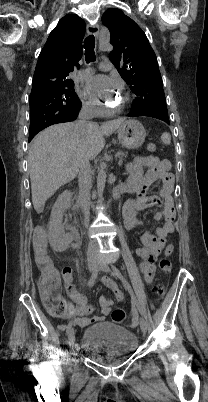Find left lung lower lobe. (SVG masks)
Segmentation results:
<instances>
[{"instance_id":"1","label":"left lung lower lobe","mask_w":208,"mask_h":402,"mask_svg":"<svg viewBox=\"0 0 208 402\" xmlns=\"http://www.w3.org/2000/svg\"><path fill=\"white\" fill-rule=\"evenodd\" d=\"M128 116H129V117H136V116L154 117V118L160 119V120L166 122L167 124H169V119H163V118H161V117H158V116L152 115V114L138 113V112H130V113L128 114Z\"/></svg>"}]
</instances>
